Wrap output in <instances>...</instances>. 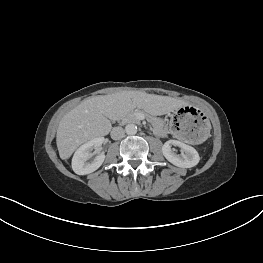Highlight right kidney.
<instances>
[{"mask_svg":"<svg viewBox=\"0 0 263 263\" xmlns=\"http://www.w3.org/2000/svg\"><path fill=\"white\" fill-rule=\"evenodd\" d=\"M103 143V138H94L80 146L72 158V169L78 175H86L96 171L104 162L105 155L99 154L92 158V150Z\"/></svg>","mask_w":263,"mask_h":263,"instance_id":"1","label":"right kidney"}]
</instances>
